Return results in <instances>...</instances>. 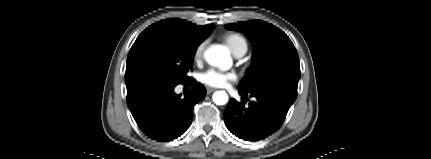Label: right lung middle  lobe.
I'll return each mask as SVG.
<instances>
[{"label":"right lung middle lobe","mask_w":431,"mask_h":159,"mask_svg":"<svg viewBox=\"0 0 431 159\" xmlns=\"http://www.w3.org/2000/svg\"><path fill=\"white\" fill-rule=\"evenodd\" d=\"M199 44L166 32L144 30L127 57L126 86L152 80L175 83L190 80L187 72L192 68Z\"/></svg>","instance_id":"1"}]
</instances>
